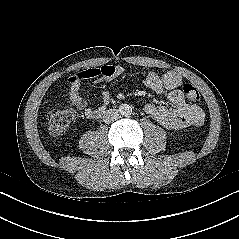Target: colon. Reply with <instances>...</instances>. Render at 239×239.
Instances as JSON below:
<instances>
[{
	"label": "colon",
	"instance_id": "obj_1",
	"mask_svg": "<svg viewBox=\"0 0 239 239\" xmlns=\"http://www.w3.org/2000/svg\"><path fill=\"white\" fill-rule=\"evenodd\" d=\"M182 91L190 102H197L200 99L198 89L190 83H185ZM74 118L75 112L71 108L51 110L48 115L49 132L55 136L63 134L68 130Z\"/></svg>",
	"mask_w": 239,
	"mask_h": 239
}]
</instances>
